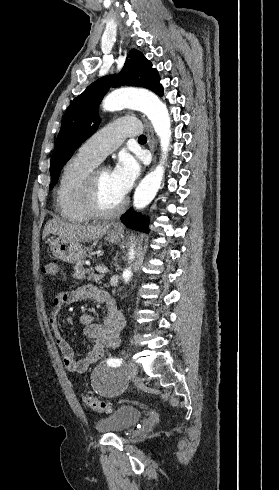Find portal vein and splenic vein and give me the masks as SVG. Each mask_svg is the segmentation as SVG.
<instances>
[{"mask_svg": "<svg viewBox=\"0 0 279 490\" xmlns=\"http://www.w3.org/2000/svg\"><path fill=\"white\" fill-rule=\"evenodd\" d=\"M95 270H96V272H102V274H105V272H108V268H102V266H96Z\"/></svg>", "mask_w": 279, "mask_h": 490, "instance_id": "18ae733b", "label": "portal vein and splenic vein"}]
</instances>
